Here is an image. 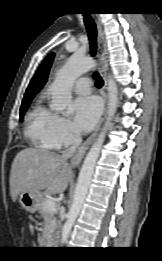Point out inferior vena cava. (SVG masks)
Segmentation results:
<instances>
[{
    "label": "inferior vena cava",
    "instance_id": "inferior-vena-cava-1",
    "mask_svg": "<svg viewBox=\"0 0 162 261\" xmlns=\"http://www.w3.org/2000/svg\"><path fill=\"white\" fill-rule=\"evenodd\" d=\"M82 139L80 133H76L73 139L72 146L67 150V152L62 154L64 159H68L69 157L73 156L76 152L77 147L80 145Z\"/></svg>",
    "mask_w": 162,
    "mask_h": 261
}]
</instances>
